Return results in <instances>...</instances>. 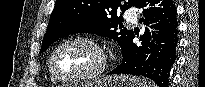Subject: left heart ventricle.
<instances>
[{
	"instance_id": "left-heart-ventricle-1",
	"label": "left heart ventricle",
	"mask_w": 205,
	"mask_h": 87,
	"mask_svg": "<svg viewBox=\"0 0 205 87\" xmlns=\"http://www.w3.org/2000/svg\"><path fill=\"white\" fill-rule=\"evenodd\" d=\"M98 52L88 44L73 43L56 55L55 69L63 76H75L94 70L99 64Z\"/></svg>"
}]
</instances>
